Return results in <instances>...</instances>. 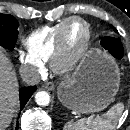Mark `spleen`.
<instances>
[{"label": "spleen", "instance_id": "1", "mask_svg": "<svg viewBox=\"0 0 130 130\" xmlns=\"http://www.w3.org/2000/svg\"><path fill=\"white\" fill-rule=\"evenodd\" d=\"M123 110L124 105L117 103L100 117L81 118L77 122L69 121L64 125L63 130H113Z\"/></svg>", "mask_w": 130, "mask_h": 130}]
</instances>
